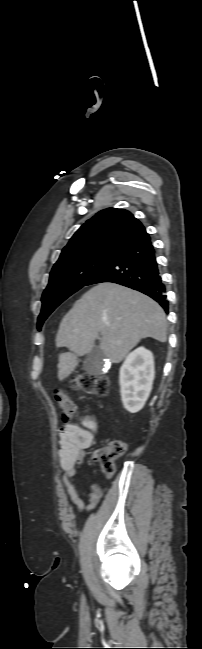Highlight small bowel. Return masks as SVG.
Here are the masks:
<instances>
[{
    "label": "small bowel",
    "instance_id": "c3829d8e",
    "mask_svg": "<svg viewBox=\"0 0 202 649\" xmlns=\"http://www.w3.org/2000/svg\"><path fill=\"white\" fill-rule=\"evenodd\" d=\"M98 431L99 424L91 415L84 416L79 424L67 423L59 431V463L63 471L61 479L70 502L76 507L79 514L94 510L104 495L98 484H90L87 491L89 503L86 505L73 483L77 477L78 469L85 459V452L93 444Z\"/></svg>",
    "mask_w": 202,
    "mask_h": 649
}]
</instances>
